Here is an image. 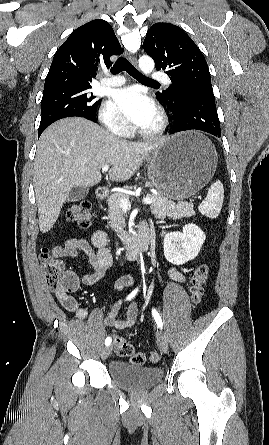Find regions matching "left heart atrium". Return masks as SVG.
Wrapping results in <instances>:
<instances>
[{
    "label": "left heart atrium",
    "instance_id": "39dd6f15",
    "mask_svg": "<svg viewBox=\"0 0 269 445\" xmlns=\"http://www.w3.org/2000/svg\"><path fill=\"white\" fill-rule=\"evenodd\" d=\"M114 100L125 117L138 128L147 125L158 112L155 103L137 87L117 90Z\"/></svg>",
    "mask_w": 269,
    "mask_h": 445
}]
</instances>
